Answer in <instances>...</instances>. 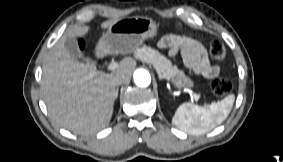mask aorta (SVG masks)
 Segmentation results:
<instances>
[{"label": "aorta", "mask_w": 283, "mask_h": 162, "mask_svg": "<svg viewBox=\"0 0 283 162\" xmlns=\"http://www.w3.org/2000/svg\"><path fill=\"white\" fill-rule=\"evenodd\" d=\"M134 82L139 87H147L151 83V76L145 69H137L134 72Z\"/></svg>", "instance_id": "obj_1"}]
</instances>
